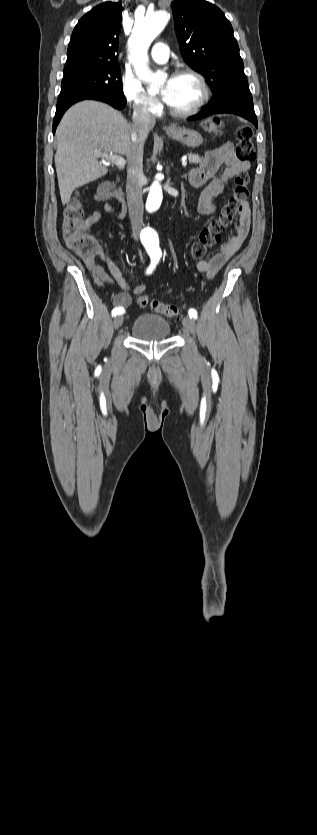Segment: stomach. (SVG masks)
<instances>
[{"label": "stomach", "mask_w": 317, "mask_h": 835, "mask_svg": "<svg viewBox=\"0 0 317 835\" xmlns=\"http://www.w3.org/2000/svg\"><path fill=\"white\" fill-rule=\"evenodd\" d=\"M166 133L170 138L192 148L199 147L203 143L202 136L197 131L188 128L172 126Z\"/></svg>", "instance_id": "0dacf381"}]
</instances>
